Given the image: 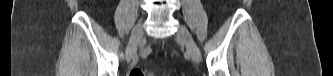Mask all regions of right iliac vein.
<instances>
[{"label": "right iliac vein", "mask_w": 333, "mask_h": 76, "mask_svg": "<svg viewBox=\"0 0 333 76\" xmlns=\"http://www.w3.org/2000/svg\"><path fill=\"white\" fill-rule=\"evenodd\" d=\"M143 36V24L142 23H138L135 28L133 29L129 42H128V46L126 49V57L127 60L130 61L132 59V57L134 56L138 43L140 41V39Z\"/></svg>", "instance_id": "obj_1"}]
</instances>
